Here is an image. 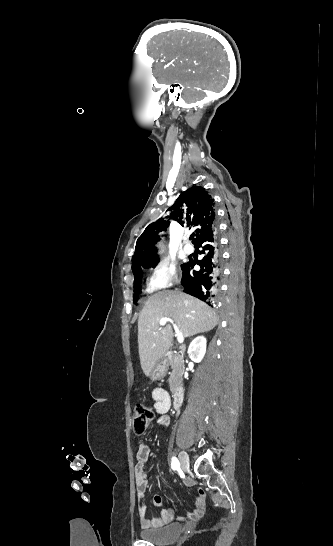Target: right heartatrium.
Returning a JSON list of instances; mask_svg holds the SVG:
<instances>
[{"label":"right heart atrium","instance_id":"d8ad5b80","mask_svg":"<svg viewBox=\"0 0 333 546\" xmlns=\"http://www.w3.org/2000/svg\"><path fill=\"white\" fill-rule=\"evenodd\" d=\"M178 278L176 265L169 260H163L152 269L147 279V290L155 292L170 288L178 282Z\"/></svg>","mask_w":333,"mask_h":546}]
</instances>
